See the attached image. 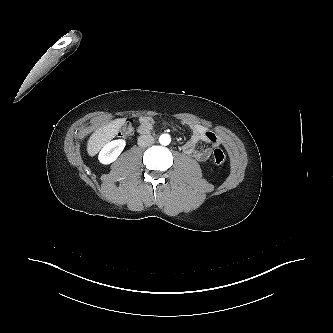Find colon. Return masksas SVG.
Here are the masks:
<instances>
[{
    "instance_id": "5ec220e1",
    "label": "colon",
    "mask_w": 333,
    "mask_h": 333,
    "mask_svg": "<svg viewBox=\"0 0 333 333\" xmlns=\"http://www.w3.org/2000/svg\"><path fill=\"white\" fill-rule=\"evenodd\" d=\"M135 129V121L133 119L128 120L123 127L121 128L119 132V136L121 137H127L134 133ZM226 156L222 149L216 148L213 152V162L216 165H222L225 163Z\"/></svg>"
}]
</instances>
